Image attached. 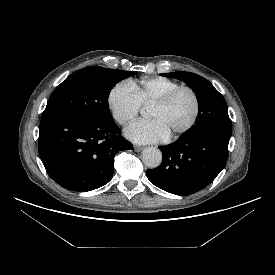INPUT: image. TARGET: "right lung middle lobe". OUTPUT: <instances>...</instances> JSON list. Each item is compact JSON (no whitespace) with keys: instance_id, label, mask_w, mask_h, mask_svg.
Listing matches in <instances>:
<instances>
[{"instance_id":"dd1d6c3e","label":"right lung middle lobe","mask_w":275,"mask_h":275,"mask_svg":"<svg viewBox=\"0 0 275 275\" xmlns=\"http://www.w3.org/2000/svg\"><path fill=\"white\" fill-rule=\"evenodd\" d=\"M135 73L99 66L83 68L55 89L44 114L69 112L114 122L108 106L111 89Z\"/></svg>"}]
</instances>
